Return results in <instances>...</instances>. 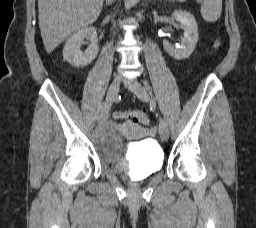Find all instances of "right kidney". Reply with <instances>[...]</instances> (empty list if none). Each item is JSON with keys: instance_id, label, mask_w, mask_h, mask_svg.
I'll return each instance as SVG.
<instances>
[{"instance_id": "ca27d5eb", "label": "right kidney", "mask_w": 256, "mask_h": 228, "mask_svg": "<svg viewBox=\"0 0 256 228\" xmlns=\"http://www.w3.org/2000/svg\"><path fill=\"white\" fill-rule=\"evenodd\" d=\"M86 37L91 39V45L82 52L81 45ZM98 51L97 30L95 27H89L77 31L67 39L63 58L75 67H85L96 58Z\"/></svg>"}]
</instances>
